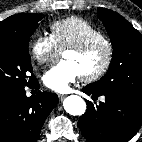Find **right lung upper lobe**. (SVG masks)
Returning <instances> with one entry per match:
<instances>
[{"label":"right lung upper lobe","mask_w":142,"mask_h":142,"mask_svg":"<svg viewBox=\"0 0 142 142\" xmlns=\"http://www.w3.org/2000/svg\"><path fill=\"white\" fill-rule=\"evenodd\" d=\"M17 15H18V14H17ZM15 16H16V15H13V16H11V17L5 19L4 21L0 22V23H1V24H4V23H6V22L12 20L13 18H15ZM4 98H5L4 96H0V101H2Z\"/></svg>","instance_id":"right-lung-upper-lobe-1"}]
</instances>
